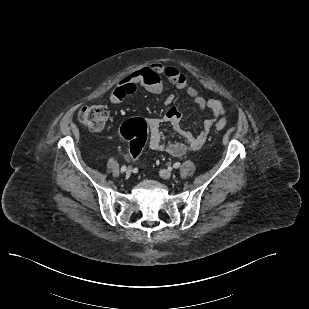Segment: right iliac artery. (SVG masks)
I'll list each match as a JSON object with an SVG mask.
<instances>
[{"label": "right iliac artery", "instance_id": "1", "mask_svg": "<svg viewBox=\"0 0 309 309\" xmlns=\"http://www.w3.org/2000/svg\"><path fill=\"white\" fill-rule=\"evenodd\" d=\"M121 171H122V172H125V171H126V166H122V167H121Z\"/></svg>", "mask_w": 309, "mask_h": 309}]
</instances>
